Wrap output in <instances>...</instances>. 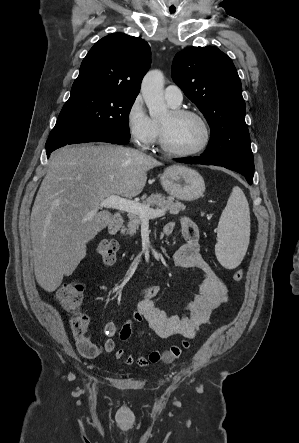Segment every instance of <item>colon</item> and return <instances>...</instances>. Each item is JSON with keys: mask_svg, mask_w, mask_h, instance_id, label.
Here are the masks:
<instances>
[{"mask_svg": "<svg viewBox=\"0 0 299 443\" xmlns=\"http://www.w3.org/2000/svg\"><path fill=\"white\" fill-rule=\"evenodd\" d=\"M118 244L111 239L101 240L96 246V254L102 264L111 266L116 261ZM244 277L241 269L233 272V280L240 282ZM84 286L78 280L62 284L56 292V300L63 310L71 314L69 324L74 335L82 336L87 333L91 319L88 315L78 312L83 298Z\"/></svg>", "mask_w": 299, "mask_h": 443, "instance_id": "obj_1", "label": "colon"}]
</instances>
